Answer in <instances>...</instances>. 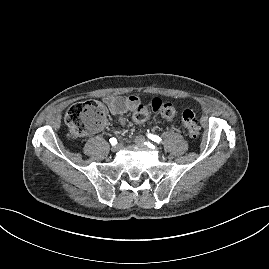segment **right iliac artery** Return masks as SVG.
Wrapping results in <instances>:
<instances>
[{
  "label": "right iliac artery",
  "mask_w": 269,
  "mask_h": 269,
  "mask_svg": "<svg viewBox=\"0 0 269 269\" xmlns=\"http://www.w3.org/2000/svg\"><path fill=\"white\" fill-rule=\"evenodd\" d=\"M110 143H111L112 145H116V144H117V140H116V138H111V139H110Z\"/></svg>",
  "instance_id": "82829eb1"
}]
</instances>
